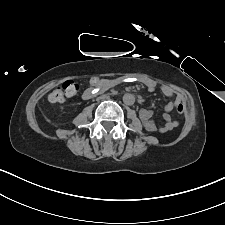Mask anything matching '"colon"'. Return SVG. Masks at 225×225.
Masks as SVG:
<instances>
[{"instance_id":"1","label":"colon","mask_w":225,"mask_h":225,"mask_svg":"<svg viewBox=\"0 0 225 225\" xmlns=\"http://www.w3.org/2000/svg\"><path fill=\"white\" fill-rule=\"evenodd\" d=\"M105 81L100 78L94 77L91 81L92 85H100ZM80 86L74 81H66L62 85L57 86L48 96V100L52 103H61L65 100V97H72L79 93ZM178 113L184 112V105L178 104L176 107Z\"/></svg>"}]
</instances>
